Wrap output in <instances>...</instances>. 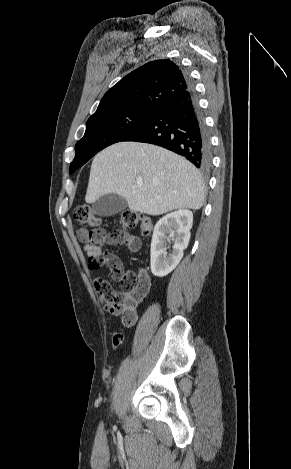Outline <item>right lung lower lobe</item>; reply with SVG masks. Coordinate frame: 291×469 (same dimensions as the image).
<instances>
[{"label": "right lung lower lobe", "mask_w": 291, "mask_h": 469, "mask_svg": "<svg viewBox=\"0 0 291 469\" xmlns=\"http://www.w3.org/2000/svg\"><path fill=\"white\" fill-rule=\"evenodd\" d=\"M161 103L151 116L121 141L155 144L184 156L201 170L211 165L209 135L193 87Z\"/></svg>", "instance_id": "98d812e1"}]
</instances>
